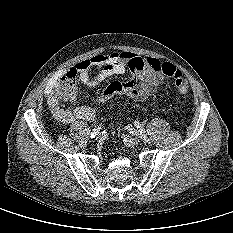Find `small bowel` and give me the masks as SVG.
Wrapping results in <instances>:
<instances>
[{"mask_svg":"<svg viewBox=\"0 0 233 233\" xmlns=\"http://www.w3.org/2000/svg\"><path fill=\"white\" fill-rule=\"evenodd\" d=\"M161 65L156 58H142L131 52L95 55L65 69L58 80L46 87L48 104L55 118L63 124H70L76 120L91 121L95 117L92 107L77 106L73 109L63 107L58 96V85L62 78L77 76L83 86L93 87L104 79L123 74L129 69L133 73L132 79L124 83L109 84L96 102L105 103L116 94H125L133 100L144 101L152 96L164 81L165 75L160 70ZM91 68L98 69L99 74L91 77L89 74Z\"/></svg>","mask_w":233,"mask_h":233,"instance_id":"obj_1","label":"small bowel"}]
</instances>
